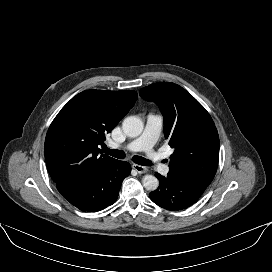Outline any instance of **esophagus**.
Here are the masks:
<instances>
[{
    "label": "esophagus",
    "instance_id": "obj_1",
    "mask_svg": "<svg viewBox=\"0 0 272 272\" xmlns=\"http://www.w3.org/2000/svg\"><path fill=\"white\" fill-rule=\"evenodd\" d=\"M132 167H133V169H135L140 174L147 172V168L145 166H141V165H138V164H133Z\"/></svg>",
    "mask_w": 272,
    "mask_h": 272
}]
</instances>
